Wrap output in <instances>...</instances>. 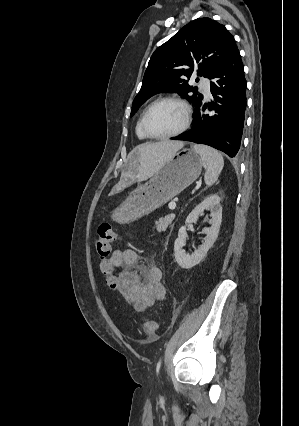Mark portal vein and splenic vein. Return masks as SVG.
Listing matches in <instances>:
<instances>
[{"label":"portal vein and splenic vein","instance_id":"18ae733b","mask_svg":"<svg viewBox=\"0 0 299 426\" xmlns=\"http://www.w3.org/2000/svg\"><path fill=\"white\" fill-rule=\"evenodd\" d=\"M169 208L171 209V210H174L175 209V207H176V202L175 201H172V202H170L169 203Z\"/></svg>","mask_w":299,"mask_h":426}]
</instances>
